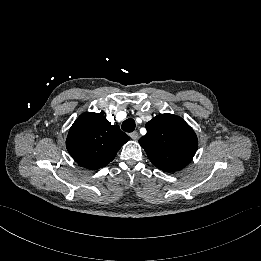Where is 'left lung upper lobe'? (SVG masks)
I'll return each mask as SVG.
<instances>
[{
	"instance_id": "5c2ea615",
	"label": "left lung upper lobe",
	"mask_w": 261,
	"mask_h": 261,
	"mask_svg": "<svg viewBox=\"0 0 261 261\" xmlns=\"http://www.w3.org/2000/svg\"><path fill=\"white\" fill-rule=\"evenodd\" d=\"M147 133L139 140L149 160L164 172L178 171L194 157L198 141L195 132L181 118L161 114L146 124Z\"/></svg>"
}]
</instances>
